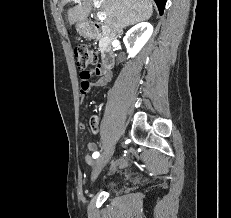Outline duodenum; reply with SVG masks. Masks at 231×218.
<instances>
[{"mask_svg":"<svg viewBox=\"0 0 231 218\" xmlns=\"http://www.w3.org/2000/svg\"><path fill=\"white\" fill-rule=\"evenodd\" d=\"M83 29L90 37L102 38L104 40L105 50L102 60V67L105 71H109L113 67L115 60V56L112 51V31L103 24L89 21L83 23Z\"/></svg>","mask_w":231,"mask_h":218,"instance_id":"1","label":"duodenum"}]
</instances>
